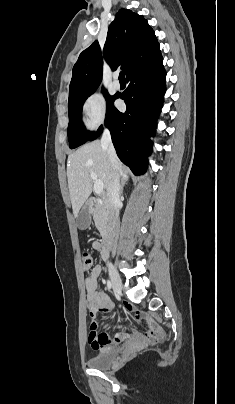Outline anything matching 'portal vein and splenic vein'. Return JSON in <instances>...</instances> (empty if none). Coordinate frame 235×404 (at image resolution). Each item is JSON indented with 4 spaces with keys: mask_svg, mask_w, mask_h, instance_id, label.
<instances>
[{
    "mask_svg": "<svg viewBox=\"0 0 235 404\" xmlns=\"http://www.w3.org/2000/svg\"><path fill=\"white\" fill-rule=\"evenodd\" d=\"M91 179L94 181V191L96 194H101L103 192L104 184L101 180L97 178L95 173L90 174Z\"/></svg>",
    "mask_w": 235,
    "mask_h": 404,
    "instance_id": "portal-vein-and-splenic-vein-1",
    "label": "portal vein and splenic vein"
}]
</instances>
